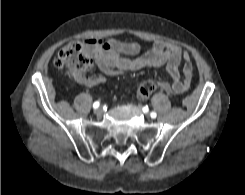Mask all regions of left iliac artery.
Here are the masks:
<instances>
[{"label": "left iliac artery", "mask_w": 245, "mask_h": 195, "mask_svg": "<svg viewBox=\"0 0 245 195\" xmlns=\"http://www.w3.org/2000/svg\"><path fill=\"white\" fill-rule=\"evenodd\" d=\"M151 118H156L157 114L155 112H151Z\"/></svg>", "instance_id": "obj_1"}]
</instances>
